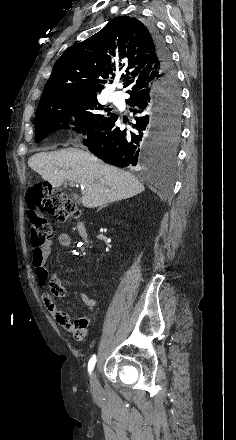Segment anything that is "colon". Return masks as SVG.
<instances>
[{
    "label": "colon",
    "instance_id": "colon-1",
    "mask_svg": "<svg viewBox=\"0 0 236 440\" xmlns=\"http://www.w3.org/2000/svg\"><path fill=\"white\" fill-rule=\"evenodd\" d=\"M26 203L31 225V243L34 247L43 245L53 236V229L45 216L46 213L55 216L61 222L80 215V210L74 200L48 183L32 186L26 194Z\"/></svg>",
    "mask_w": 236,
    "mask_h": 440
}]
</instances>
